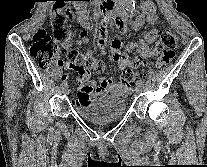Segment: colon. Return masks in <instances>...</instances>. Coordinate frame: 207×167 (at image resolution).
I'll return each instance as SVG.
<instances>
[{
    "label": "colon",
    "mask_w": 207,
    "mask_h": 167,
    "mask_svg": "<svg viewBox=\"0 0 207 167\" xmlns=\"http://www.w3.org/2000/svg\"><path fill=\"white\" fill-rule=\"evenodd\" d=\"M72 10L58 6L54 8L52 24L54 37L50 36L44 29H38L32 39L30 54L38 62L39 67L45 72H54L63 63L59 57L58 43L65 46L67 64L73 68L86 69L88 71L100 72L103 70L102 62L96 60L90 54H84L75 47V38L71 29ZM120 44L119 42H117ZM178 45L177 36L171 31L164 30L160 34L158 48L160 54L155 62L157 69L168 65L174 57V49ZM142 72L131 69L121 71V84L131 87Z\"/></svg>",
    "instance_id": "colon-1"
}]
</instances>
